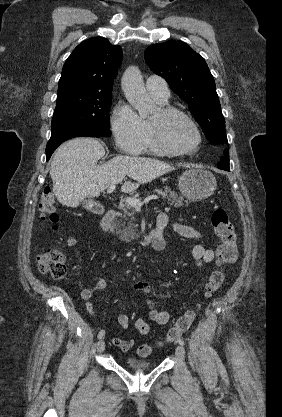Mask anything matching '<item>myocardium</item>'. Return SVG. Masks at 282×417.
I'll return each mask as SVG.
<instances>
[{
  "label": "myocardium",
  "instance_id": "f54148a6",
  "mask_svg": "<svg viewBox=\"0 0 282 417\" xmlns=\"http://www.w3.org/2000/svg\"><path fill=\"white\" fill-rule=\"evenodd\" d=\"M160 116L163 119H170V118H174V117H179L181 119H183L187 125L191 128V130L193 131L194 135H195V143L192 146L189 147H176L171 145L162 130L161 126L155 125L154 123H152L151 121H149V125H150V129L158 143V145L165 151L168 153H172V154H188V153H192L194 151H196L199 147V145L201 144L202 141V137H201V133L197 127V125L195 124V122L191 119L190 116H188L185 112L173 108V107H168V106H163L160 107L158 109Z\"/></svg>",
  "mask_w": 282,
  "mask_h": 417
}]
</instances>
